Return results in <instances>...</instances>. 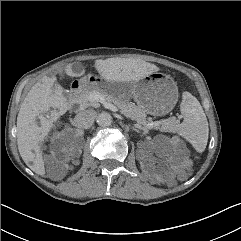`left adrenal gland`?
I'll return each instance as SVG.
<instances>
[{"mask_svg":"<svg viewBox=\"0 0 241 241\" xmlns=\"http://www.w3.org/2000/svg\"><path fill=\"white\" fill-rule=\"evenodd\" d=\"M133 130L136 132H139V130L136 128V126H133Z\"/></svg>","mask_w":241,"mask_h":241,"instance_id":"a2214340","label":"left adrenal gland"}]
</instances>
